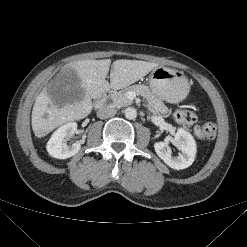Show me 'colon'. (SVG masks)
<instances>
[{
    "label": "colon",
    "mask_w": 247,
    "mask_h": 247,
    "mask_svg": "<svg viewBox=\"0 0 247 247\" xmlns=\"http://www.w3.org/2000/svg\"><path fill=\"white\" fill-rule=\"evenodd\" d=\"M177 122L184 125H192L197 121V114L191 109H181L175 114ZM216 126L213 123H205L202 126L195 127V133L198 137L206 140H212L216 136Z\"/></svg>",
    "instance_id": "colon-1"
}]
</instances>
